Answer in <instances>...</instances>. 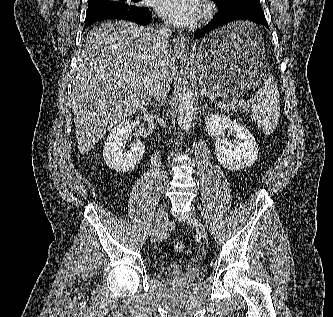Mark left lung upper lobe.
Returning <instances> with one entry per match:
<instances>
[{
    "mask_svg": "<svg viewBox=\"0 0 333 317\" xmlns=\"http://www.w3.org/2000/svg\"><path fill=\"white\" fill-rule=\"evenodd\" d=\"M220 10L232 9L243 6L260 5V0H213Z\"/></svg>",
    "mask_w": 333,
    "mask_h": 317,
    "instance_id": "1",
    "label": "left lung upper lobe"
}]
</instances>
